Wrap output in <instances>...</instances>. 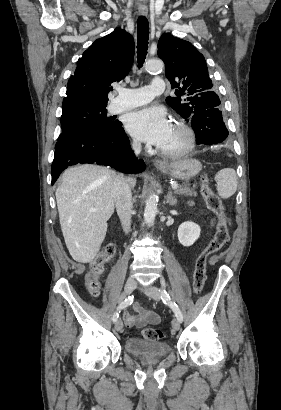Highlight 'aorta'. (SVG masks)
I'll return each instance as SVG.
<instances>
[{"instance_id":"obj_1","label":"aorta","mask_w":281,"mask_h":410,"mask_svg":"<svg viewBox=\"0 0 281 410\" xmlns=\"http://www.w3.org/2000/svg\"><path fill=\"white\" fill-rule=\"evenodd\" d=\"M164 68V63L158 59H152L146 62L145 70L149 73L161 71ZM158 206V197L155 194H152L146 201L145 210H144V221L146 224L150 225L154 220L157 214Z\"/></svg>"}]
</instances>
